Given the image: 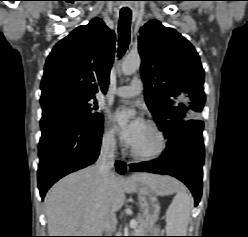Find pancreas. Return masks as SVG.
<instances>
[{
    "mask_svg": "<svg viewBox=\"0 0 248 237\" xmlns=\"http://www.w3.org/2000/svg\"><path fill=\"white\" fill-rule=\"evenodd\" d=\"M149 226L148 222L143 216L137 217V227L134 229L135 235H144L146 233V228Z\"/></svg>",
    "mask_w": 248,
    "mask_h": 237,
    "instance_id": "obj_1",
    "label": "pancreas"
}]
</instances>
